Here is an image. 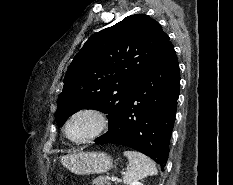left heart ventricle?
<instances>
[{"mask_svg": "<svg viewBox=\"0 0 233 185\" xmlns=\"http://www.w3.org/2000/svg\"><path fill=\"white\" fill-rule=\"evenodd\" d=\"M97 128V119L88 114L75 117L69 127V135L75 140L83 139Z\"/></svg>", "mask_w": 233, "mask_h": 185, "instance_id": "1", "label": "left heart ventricle"}]
</instances>
